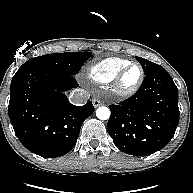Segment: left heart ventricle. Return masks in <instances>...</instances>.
Here are the masks:
<instances>
[{
    "mask_svg": "<svg viewBox=\"0 0 193 193\" xmlns=\"http://www.w3.org/2000/svg\"><path fill=\"white\" fill-rule=\"evenodd\" d=\"M140 77V69L136 66L131 67L122 79V85L126 88L133 86Z\"/></svg>",
    "mask_w": 193,
    "mask_h": 193,
    "instance_id": "obj_1",
    "label": "left heart ventricle"
}]
</instances>
